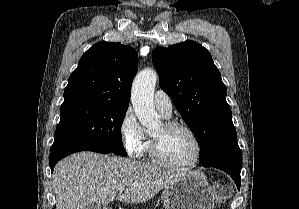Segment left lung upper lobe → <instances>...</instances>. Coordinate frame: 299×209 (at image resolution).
Returning <instances> with one entry per match:
<instances>
[{
    "label": "left lung upper lobe",
    "instance_id": "obj_1",
    "mask_svg": "<svg viewBox=\"0 0 299 209\" xmlns=\"http://www.w3.org/2000/svg\"><path fill=\"white\" fill-rule=\"evenodd\" d=\"M152 58L160 87L194 133L203 162L225 138L236 134L220 72L209 51L193 41L159 47Z\"/></svg>",
    "mask_w": 299,
    "mask_h": 209
}]
</instances>
